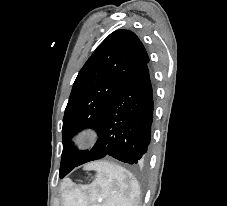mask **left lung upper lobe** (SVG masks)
<instances>
[{
  "label": "left lung upper lobe",
  "instance_id": "5c2ea615",
  "mask_svg": "<svg viewBox=\"0 0 227 206\" xmlns=\"http://www.w3.org/2000/svg\"><path fill=\"white\" fill-rule=\"evenodd\" d=\"M148 62L142 42L129 30L112 32L96 48L80 70L65 109L59 173L73 168L88 152L74 148L72 136L87 127L98 132L119 89Z\"/></svg>",
  "mask_w": 227,
  "mask_h": 206
}]
</instances>
